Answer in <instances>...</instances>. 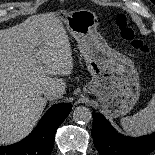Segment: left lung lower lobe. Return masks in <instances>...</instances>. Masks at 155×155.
Returning <instances> with one entry per match:
<instances>
[{
    "mask_svg": "<svg viewBox=\"0 0 155 155\" xmlns=\"http://www.w3.org/2000/svg\"><path fill=\"white\" fill-rule=\"evenodd\" d=\"M91 133L101 155H147L155 149V133L138 138L123 136L103 115L95 112Z\"/></svg>",
    "mask_w": 155,
    "mask_h": 155,
    "instance_id": "1",
    "label": "left lung lower lobe"
}]
</instances>
